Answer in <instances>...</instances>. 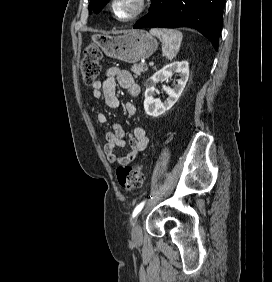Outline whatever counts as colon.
<instances>
[{
    "mask_svg": "<svg viewBox=\"0 0 272 282\" xmlns=\"http://www.w3.org/2000/svg\"><path fill=\"white\" fill-rule=\"evenodd\" d=\"M102 52L99 44L93 41L88 45L80 61V68L84 84L93 85L100 72V62L102 60ZM145 164H140L135 167L120 166L116 173L118 182L125 191H132L140 188L145 180Z\"/></svg>",
    "mask_w": 272,
    "mask_h": 282,
    "instance_id": "obj_1",
    "label": "colon"
}]
</instances>
